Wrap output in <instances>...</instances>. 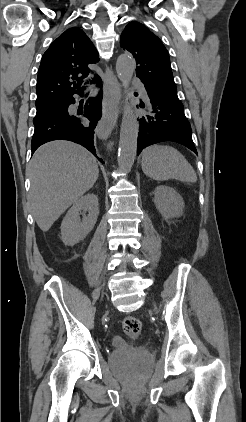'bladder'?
<instances>
[{
  "mask_svg": "<svg viewBox=\"0 0 246 422\" xmlns=\"http://www.w3.org/2000/svg\"><path fill=\"white\" fill-rule=\"evenodd\" d=\"M153 361L154 357L149 351L124 346L116 347L109 356V362L114 367L131 364L138 369H145L150 367Z\"/></svg>",
  "mask_w": 246,
  "mask_h": 422,
  "instance_id": "1",
  "label": "bladder"
}]
</instances>
